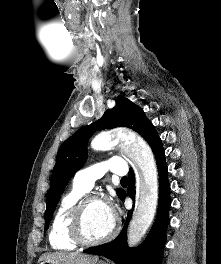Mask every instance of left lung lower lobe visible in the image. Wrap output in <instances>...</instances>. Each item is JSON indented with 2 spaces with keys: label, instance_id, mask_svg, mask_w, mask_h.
Returning a JSON list of instances; mask_svg holds the SVG:
<instances>
[{
  "label": "left lung lower lobe",
  "instance_id": "left-lung-lower-lobe-1",
  "mask_svg": "<svg viewBox=\"0 0 221 264\" xmlns=\"http://www.w3.org/2000/svg\"><path fill=\"white\" fill-rule=\"evenodd\" d=\"M159 172V202L157 217L145 241L136 248L127 246L126 230L132 216V210L127 214L125 225L119 236L110 243L84 250L86 253L103 255L116 264H160L163 256V245L166 242V228L169 224L170 187L167 176L165 152L160 142L153 150ZM135 199V176L129 171L127 193L123 192L121 200L126 196Z\"/></svg>",
  "mask_w": 221,
  "mask_h": 264
}]
</instances>
